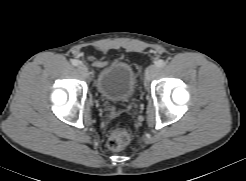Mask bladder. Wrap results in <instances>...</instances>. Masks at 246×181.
Returning a JSON list of instances; mask_svg holds the SVG:
<instances>
[{
	"instance_id": "obj_1",
	"label": "bladder",
	"mask_w": 246,
	"mask_h": 181,
	"mask_svg": "<svg viewBox=\"0 0 246 181\" xmlns=\"http://www.w3.org/2000/svg\"><path fill=\"white\" fill-rule=\"evenodd\" d=\"M136 76L125 61L114 60L97 75L95 88L99 96L111 102H126L135 92Z\"/></svg>"
}]
</instances>
